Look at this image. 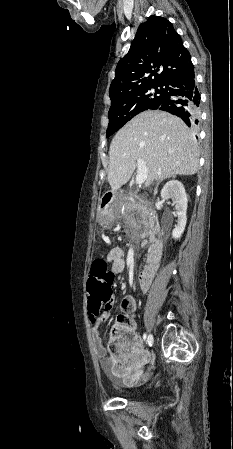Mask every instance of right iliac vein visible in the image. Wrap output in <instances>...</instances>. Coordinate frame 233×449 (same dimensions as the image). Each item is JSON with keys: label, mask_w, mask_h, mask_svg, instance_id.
I'll return each mask as SVG.
<instances>
[{"label": "right iliac vein", "mask_w": 233, "mask_h": 449, "mask_svg": "<svg viewBox=\"0 0 233 449\" xmlns=\"http://www.w3.org/2000/svg\"><path fill=\"white\" fill-rule=\"evenodd\" d=\"M149 341L153 344V336L151 334L149 335Z\"/></svg>", "instance_id": "1"}]
</instances>
